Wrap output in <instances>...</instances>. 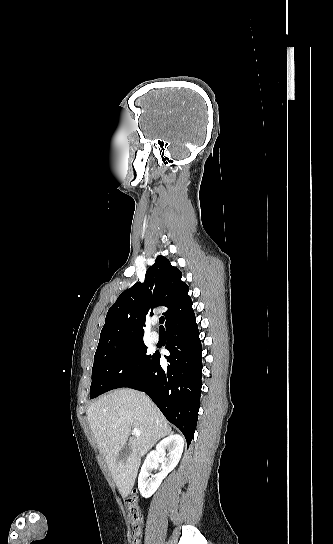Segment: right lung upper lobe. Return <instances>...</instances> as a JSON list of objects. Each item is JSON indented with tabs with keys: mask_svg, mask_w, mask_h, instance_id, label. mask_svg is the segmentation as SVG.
I'll return each mask as SVG.
<instances>
[{
	"mask_svg": "<svg viewBox=\"0 0 333 544\" xmlns=\"http://www.w3.org/2000/svg\"><path fill=\"white\" fill-rule=\"evenodd\" d=\"M182 273L164 256H158L146 272L144 283H136L118 297L108 310L100 340L117 337L140 338L144 335L145 316L158 306H165V326L193 313L189 287L181 281Z\"/></svg>",
	"mask_w": 333,
	"mask_h": 544,
	"instance_id": "cb5924a9",
	"label": "right lung upper lobe"
}]
</instances>
